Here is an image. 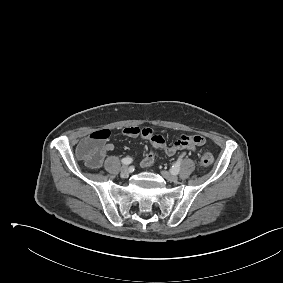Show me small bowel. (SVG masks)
Here are the masks:
<instances>
[{
  "label": "small bowel",
  "mask_w": 283,
  "mask_h": 283,
  "mask_svg": "<svg viewBox=\"0 0 283 283\" xmlns=\"http://www.w3.org/2000/svg\"><path fill=\"white\" fill-rule=\"evenodd\" d=\"M122 134L129 137H141L149 140L154 150H161L166 155L172 156L178 151H194L198 146H202L206 143V139L202 135H183L177 139L171 146H166L165 140L161 135H157L151 128H139V127H126L122 130ZM114 149L113 144L106 143L103 146L104 153L112 151ZM154 151H150L142 160L143 167H151L154 163Z\"/></svg>",
  "instance_id": "small-bowel-1"
}]
</instances>
